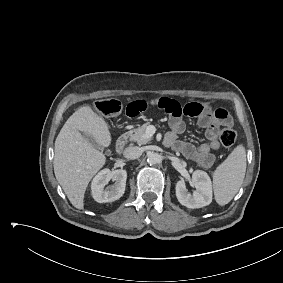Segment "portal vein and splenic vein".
Wrapping results in <instances>:
<instances>
[{"label": "portal vein and splenic vein", "instance_id": "1", "mask_svg": "<svg viewBox=\"0 0 283 283\" xmlns=\"http://www.w3.org/2000/svg\"><path fill=\"white\" fill-rule=\"evenodd\" d=\"M149 128H151V126H150ZM146 133H147V135H148L149 137L152 136V134H150L149 132H146Z\"/></svg>", "mask_w": 283, "mask_h": 283}]
</instances>
